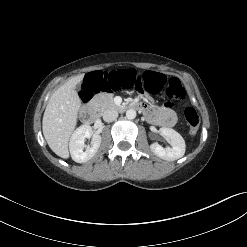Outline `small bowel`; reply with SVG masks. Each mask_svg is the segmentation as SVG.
<instances>
[{"mask_svg":"<svg viewBox=\"0 0 247 247\" xmlns=\"http://www.w3.org/2000/svg\"><path fill=\"white\" fill-rule=\"evenodd\" d=\"M144 106V113L148 120L161 127H172L176 124V113L169 106H154L151 103H141Z\"/></svg>","mask_w":247,"mask_h":247,"instance_id":"c3829d8e","label":"small bowel"}]
</instances>
